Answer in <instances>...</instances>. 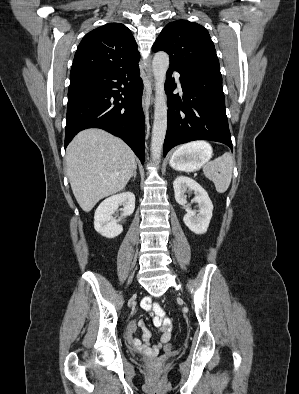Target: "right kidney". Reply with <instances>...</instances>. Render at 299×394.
Returning <instances> with one entry per match:
<instances>
[{"instance_id":"ca27d5eb","label":"right kidney","mask_w":299,"mask_h":394,"mask_svg":"<svg viewBox=\"0 0 299 394\" xmlns=\"http://www.w3.org/2000/svg\"><path fill=\"white\" fill-rule=\"evenodd\" d=\"M119 205L124 206L122 217L131 215L135 210V195L132 192L113 195L105 199L95 211L94 228L106 238H114L123 231L122 225L118 224L120 218H112Z\"/></svg>"}]
</instances>
